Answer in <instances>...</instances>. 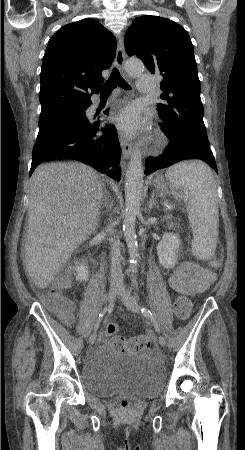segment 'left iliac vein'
<instances>
[{
	"label": "left iliac vein",
	"instance_id": "4c4485c4",
	"mask_svg": "<svg viewBox=\"0 0 245 450\" xmlns=\"http://www.w3.org/2000/svg\"><path fill=\"white\" fill-rule=\"evenodd\" d=\"M118 294H119V296H120V298H121L123 304H124L129 310H131L132 312H135V313H139V312H140V307H139V305H138L136 299L132 296V294H131L129 291H127V290L125 289L124 285H122V286L120 287V290H119ZM158 341H159V344H160L162 347H165V346H166V341H165V339H164L163 336L159 335Z\"/></svg>",
	"mask_w": 245,
	"mask_h": 450
}]
</instances>
